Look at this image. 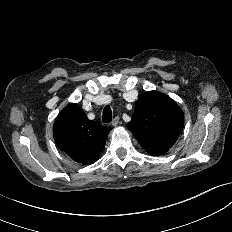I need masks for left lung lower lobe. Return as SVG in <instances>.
I'll use <instances>...</instances> for the list:
<instances>
[{
  "label": "left lung lower lobe",
  "mask_w": 232,
  "mask_h": 232,
  "mask_svg": "<svg viewBox=\"0 0 232 232\" xmlns=\"http://www.w3.org/2000/svg\"><path fill=\"white\" fill-rule=\"evenodd\" d=\"M169 149H161L158 151H152V152H148L149 154L153 155V156H159L162 155L164 153H166Z\"/></svg>",
  "instance_id": "obj_1"
}]
</instances>
